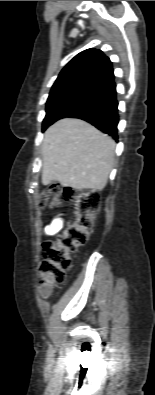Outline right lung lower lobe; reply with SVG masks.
<instances>
[{
    "label": "right lung lower lobe",
    "mask_w": 155,
    "mask_h": 395,
    "mask_svg": "<svg viewBox=\"0 0 155 395\" xmlns=\"http://www.w3.org/2000/svg\"><path fill=\"white\" fill-rule=\"evenodd\" d=\"M116 94V84L112 81L93 100L68 116L77 117L91 123L117 141L119 119Z\"/></svg>",
    "instance_id": "1"
}]
</instances>
